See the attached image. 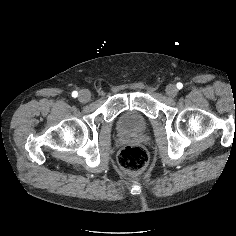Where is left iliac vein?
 <instances>
[{
  "mask_svg": "<svg viewBox=\"0 0 236 236\" xmlns=\"http://www.w3.org/2000/svg\"><path fill=\"white\" fill-rule=\"evenodd\" d=\"M166 94L169 96V97H176L177 94H178V89L177 87L174 85V84H169L167 87H166Z\"/></svg>",
  "mask_w": 236,
  "mask_h": 236,
  "instance_id": "obj_1",
  "label": "left iliac vein"
}]
</instances>
